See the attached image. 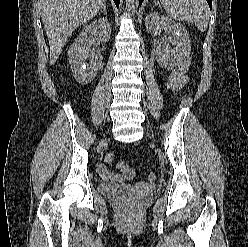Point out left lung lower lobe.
Here are the masks:
<instances>
[{"mask_svg":"<svg viewBox=\"0 0 248 247\" xmlns=\"http://www.w3.org/2000/svg\"><path fill=\"white\" fill-rule=\"evenodd\" d=\"M142 2H143V0H139L140 5L142 4ZM207 2H208L209 6L211 8L212 7V0H207Z\"/></svg>","mask_w":248,"mask_h":247,"instance_id":"obj_1","label":"left lung lower lobe"}]
</instances>
